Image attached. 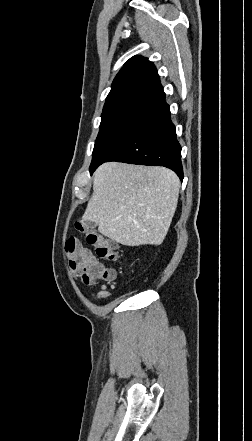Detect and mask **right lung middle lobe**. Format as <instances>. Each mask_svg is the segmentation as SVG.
<instances>
[{
    "label": "right lung middle lobe",
    "instance_id": "1",
    "mask_svg": "<svg viewBox=\"0 0 252 441\" xmlns=\"http://www.w3.org/2000/svg\"><path fill=\"white\" fill-rule=\"evenodd\" d=\"M147 101H134L103 110L90 170L103 163L133 129Z\"/></svg>",
    "mask_w": 252,
    "mask_h": 441
}]
</instances>
